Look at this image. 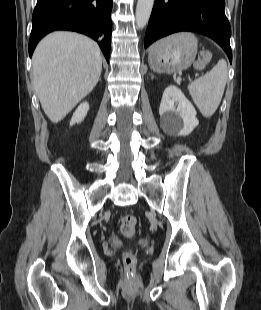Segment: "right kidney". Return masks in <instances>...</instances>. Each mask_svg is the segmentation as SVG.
<instances>
[{
	"instance_id": "right-kidney-1",
	"label": "right kidney",
	"mask_w": 261,
	"mask_h": 310,
	"mask_svg": "<svg viewBox=\"0 0 261 310\" xmlns=\"http://www.w3.org/2000/svg\"><path fill=\"white\" fill-rule=\"evenodd\" d=\"M88 110H89V104L87 102L81 103L74 112L70 121V125L72 126L75 123H81L86 117Z\"/></svg>"
}]
</instances>
